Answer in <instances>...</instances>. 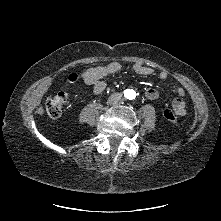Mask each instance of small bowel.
I'll return each mask as SVG.
<instances>
[{
  "label": "small bowel",
  "mask_w": 221,
  "mask_h": 221,
  "mask_svg": "<svg viewBox=\"0 0 221 221\" xmlns=\"http://www.w3.org/2000/svg\"><path fill=\"white\" fill-rule=\"evenodd\" d=\"M121 69V64L118 62H111L105 66L96 67L93 69L88 70L84 74V80L89 85L93 86L94 92L98 93L101 92L104 89V78L118 72ZM134 71L141 75L146 77H152L158 75L160 79L165 80L168 77V73L165 70L160 71L157 73V71L148 65H145L143 63H136L133 66ZM160 92L158 88L156 87H150L146 89L145 95L150 99H155L159 96ZM176 97L172 100V105L174 108H186V102L183 100V97L185 95L183 89L178 88L175 90Z\"/></svg>",
  "instance_id": "1"
}]
</instances>
